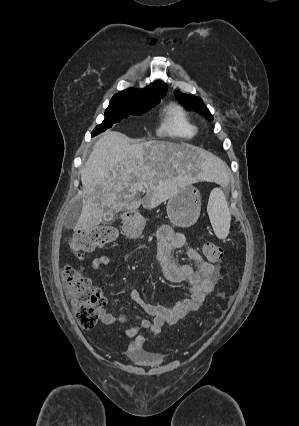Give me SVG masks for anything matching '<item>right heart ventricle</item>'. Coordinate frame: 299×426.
Instances as JSON below:
<instances>
[{
    "instance_id": "right-heart-ventricle-1",
    "label": "right heart ventricle",
    "mask_w": 299,
    "mask_h": 426,
    "mask_svg": "<svg viewBox=\"0 0 299 426\" xmlns=\"http://www.w3.org/2000/svg\"><path fill=\"white\" fill-rule=\"evenodd\" d=\"M162 131L170 136L190 139L197 134V127L178 105H170L165 113Z\"/></svg>"
}]
</instances>
